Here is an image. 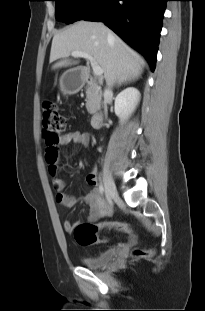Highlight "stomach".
I'll list each match as a JSON object with an SVG mask.
<instances>
[{"instance_id":"obj_1","label":"stomach","mask_w":205,"mask_h":311,"mask_svg":"<svg viewBox=\"0 0 205 311\" xmlns=\"http://www.w3.org/2000/svg\"><path fill=\"white\" fill-rule=\"evenodd\" d=\"M84 73L80 69H69L60 77V90L65 95L75 94L84 84Z\"/></svg>"}]
</instances>
